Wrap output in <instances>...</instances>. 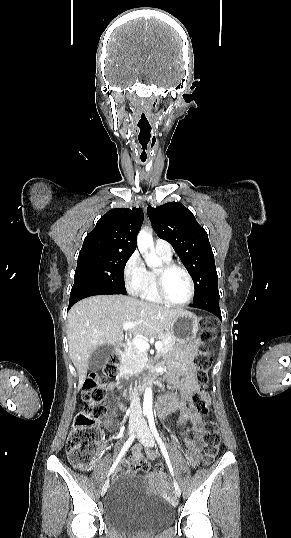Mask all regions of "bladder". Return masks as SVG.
I'll use <instances>...</instances> for the list:
<instances>
[{
  "label": "bladder",
  "instance_id": "31cf9c89",
  "mask_svg": "<svg viewBox=\"0 0 291 538\" xmlns=\"http://www.w3.org/2000/svg\"><path fill=\"white\" fill-rule=\"evenodd\" d=\"M103 516L120 531H154L171 523L174 510L161 498L147 494L138 475L121 474L112 478L104 496Z\"/></svg>",
  "mask_w": 291,
  "mask_h": 538
}]
</instances>
